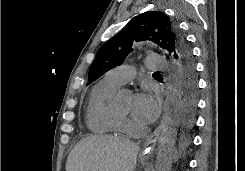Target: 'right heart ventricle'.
<instances>
[{"label": "right heart ventricle", "instance_id": "right-heart-ventricle-1", "mask_svg": "<svg viewBox=\"0 0 245 171\" xmlns=\"http://www.w3.org/2000/svg\"><path fill=\"white\" fill-rule=\"evenodd\" d=\"M118 87L104 79L92 89L87 104L86 121L88 128L99 134H118L121 131L122 116L109 105V99Z\"/></svg>", "mask_w": 245, "mask_h": 171}]
</instances>
